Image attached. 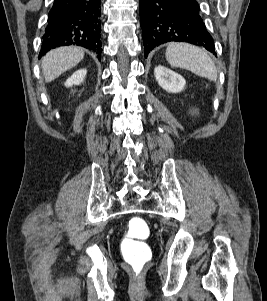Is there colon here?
I'll use <instances>...</instances> for the list:
<instances>
[{
    "label": "colon",
    "mask_w": 267,
    "mask_h": 301,
    "mask_svg": "<svg viewBox=\"0 0 267 301\" xmlns=\"http://www.w3.org/2000/svg\"><path fill=\"white\" fill-rule=\"evenodd\" d=\"M149 236V227L140 217L129 220L126 236L122 242L125 261L136 275H139L151 259V250L144 241Z\"/></svg>",
    "instance_id": "1"
}]
</instances>
